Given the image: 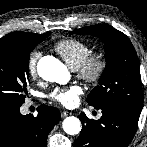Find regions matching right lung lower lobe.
<instances>
[{"label": "right lung lower lobe", "mask_w": 147, "mask_h": 147, "mask_svg": "<svg viewBox=\"0 0 147 147\" xmlns=\"http://www.w3.org/2000/svg\"><path fill=\"white\" fill-rule=\"evenodd\" d=\"M19 107H0V147H46L48 134L60 119L59 110L41 105L34 117L22 115Z\"/></svg>", "instance_id": "obj_1"}]
</instances>
